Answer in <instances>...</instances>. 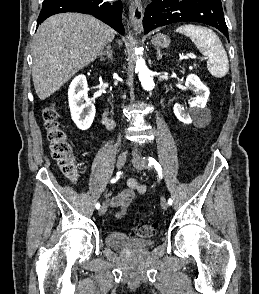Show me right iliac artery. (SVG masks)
<instances>
[{
	"mask_svg": "<svg viewBox=\"0 0 259 294\" xmlns=\"http://www.w3.org/2000/svg\"><path fill=\"white\" fill-rule=\"evenodd\" d=\"M121 174H122L121 172H118L116 178H113V179L111 180V183H115V182L119 179V177L121 176ZM95 207H96V209H99V208H100V204L97 203V204L95 205Z\"/></svg>",
	"mask_w": 259,
	"mask_h": 294,
	"instance_id": "1",
	"label": "right iliac artery"
}]
</instances>
